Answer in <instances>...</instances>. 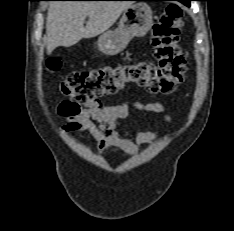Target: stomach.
<instances>
[{"label": "stomach", "mask_w": 234, "mask_h": 231, "mask_svg": "<svg viewBox=\"0 0 234 231\" xmlns=\"http://www.w3.org/2000/svg\"><path fill=\"white\" fill-rule=\"evenodd\" d=\"M153 25L152 10L146 3H135L122 14L118 27L102 33L97 40L98 49L106 55L123 51L134 37H143Z\"/></svg>", "instance_id": "stomach-1"}]
</instances>
